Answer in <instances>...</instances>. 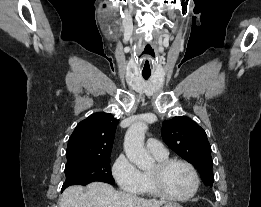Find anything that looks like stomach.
Masks as SVG:
<instances>
[{"instance_id": "obj_1", "label": "stomach", "mask_w": 261, "mask_h": 207, "mask_svg": "<svg viewBox=\"0 0 261 207\" xmlns=\"http://www.w3.org/2000/svg\"><path fill=\"white\" fill-rule=\"evenodd\" d=\"M163 207H182L180 204L175 203V202H167L164 204Z\"/></svg>"}]
</instances>
